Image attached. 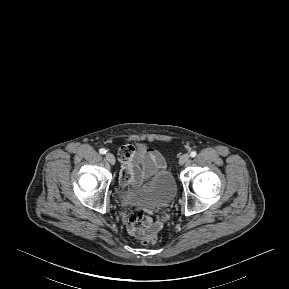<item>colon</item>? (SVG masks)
<instances>
[{"instance_id":"obj_1","label":"colon","mask_w":289,"mask_h":289,"mask_svg":"<svg viewBox=\"0 0 289 289\" xmlns=\"http://www.w3.org/2000/svg\"><path fill=\"white\" fill-rule=\"evenodd\" d=\"M158 240V236L157 233H151L148 236H146L145 238L142 239V243L144 245L147 244H155Z\"/></svg>"}]
</instances>
